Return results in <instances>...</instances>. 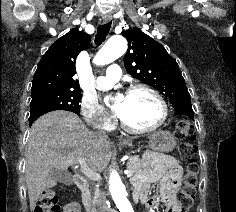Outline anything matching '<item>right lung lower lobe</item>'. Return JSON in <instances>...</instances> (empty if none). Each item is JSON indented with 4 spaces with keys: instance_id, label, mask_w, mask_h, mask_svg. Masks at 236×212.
Returning <instances> with one entry per match:
<instances>
[{
    "instance_id": "right-lung-lower-lobe-1",
    "label": "right lung lower lobe",
    "mask_w": 236,
    "mask_h": 212,
    "mask_svg": "<svg viewBox=\"0 0 236 212\" xmlns=\"http://www.w3.org/2000/svg\"><path fill=\"white\" fill-rule=\"evenodd\" d=\"M40 116H41V115H37V116H35V117L29 119V124H30V126H31L32 123H33L38 117H40Z\"/></svg>"
}]
</instances>
